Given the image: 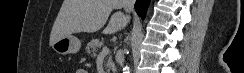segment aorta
Returning <instances> with one entry per match:
<instances>
[{"label": "aorta", "mask_w": 244, "mask_h": 73, "mask_svg": "<svg viewBox=\"0 0 244 73\" xmlns=\"http://www.w3.org/2000/svg\"><path fill=\"white\" fill-rule=\"evenodd\" d=\"M123 70L125 71V73L129 72V68L127 66Z\"/></svg>", "instance_id": "762f6f07"}]
</instances>
